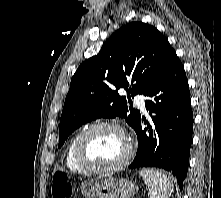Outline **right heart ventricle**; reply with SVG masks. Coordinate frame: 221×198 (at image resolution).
Instances as JSON below:
<instances>
[{
	"label": "right heart ventricle",
	"mask_w": 221,
	"mask_h": 198,
	"mask_svg": "<svg viewBox=\"0 0 221 198\" xmlns=\"http://www.w3.org/2000/svg\"><path fill=\"white\" fill-rule=\"evenodd\" d=\"M80 132H77L68 142L65 149V164L69 170L75 173H87L76 161L75 158V143Z\"/></svg>",
	"instance_id": "right-heart-ventricle-1"
}]
</instances>
